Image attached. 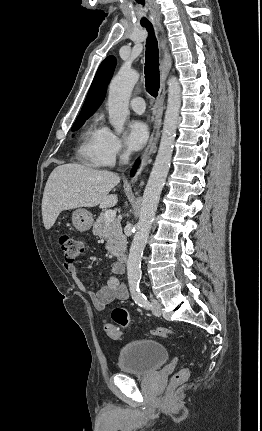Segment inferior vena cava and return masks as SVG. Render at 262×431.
<instances>
[{"label":"inferior vena cava","mask_w":262,"mask_h":431,"mask_svg":"<svg viewBox=\"0 0 262 431\" xmlns=\"http://www.w3.org/2000/svg\"><path fill=\"white\" fill-rule=\"evenodd\" d=\"M120 160L123 163H127L129 160V153L128 152L123 153V155L120 156Z\"/></svg>","instance_id":"1"}]
</instances>
